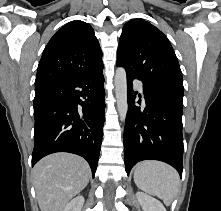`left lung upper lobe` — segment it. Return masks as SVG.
<instances>
[{
	"label": "left lung upper lobe",
	"mask_w": 221,
	"mask_h": 211,
	"mask_svg": "<svg viewBox=\"0 0 221 211\" xmlns=\"http://www.w3.org/2000/svg\"><path fill=\"white\" fill-rule=\"evenodd\" d=\"M117 63L153 85L184 92L182 72L167 37L142 19L125 24L119 40Z\"/></svg>",
	"instance_id": "left-lung-upper-lobe-1"
}]
</instances>
